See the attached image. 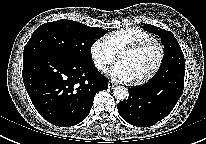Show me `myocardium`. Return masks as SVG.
Here are the masks:
<instances>
[{"label": "myocardium", "instance_id": "f54148a6", "mask_svg": "<svg viewBox=\"0 0 206 144\" xmlns=\"http://www.w3.org/2000/svg\"><path fill=\"white\" fill-rule=\"evenodd\" d=\"M149 46H154L157 50V57H156V61L152 67V69L143 77L134 80V83L136 85H142L145 84L147 82H149L150 80H152L156 74L158 73L163 60H164V56H165V48L164 45L157 39L155 38H150L135 44H131L128 45L126 47H124L119 53H118V59L124 55V54H131V53H136L139 52Z\"/></svg>", "mask_w": 206, "mask_h": 144}]
</instances>
